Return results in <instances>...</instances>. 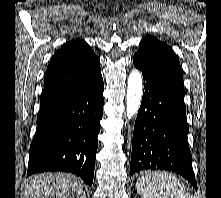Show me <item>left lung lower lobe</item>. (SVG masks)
Returning <instances> with one entry per match:
<instances>
[{
  "label": "left lung lower lobe",
  "mask_w": 221,
  "mask_h": 198,
  "mask_svg": "<svg viewBox=\"0 0 221 198\" xmlns=\"http://www.w3.org/2000/svg\"><path fill=\"white\" fill-rule=\"evenodd\" d=\"M144 79L143 98L135 121L130 175L145 169L173 171L197 190L187 142L184 95L133 58Z\"/></svg>",
  "instance_id": "0a47b994"
}]
</instances>
